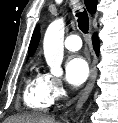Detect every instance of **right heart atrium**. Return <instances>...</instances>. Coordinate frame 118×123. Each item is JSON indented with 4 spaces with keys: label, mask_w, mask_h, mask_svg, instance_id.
Returning a JSON list of instances; mask_svg holds the SVG:
<instances>
[{
    "label": "right heart atrium",
    "mask_w": 118,
    "mask_h": 123,
    "mask_svg": "<svg viewBox=\"0 0 118 123\" xmlns=\"http://www.w3.org/2000/svg\"><path fill=\"white\" fill-rule=\"evenodd\" d=\"M43 79L48 94L53 101H58L64 97L65 89L61 79L53 76L50 73L43 74Z\"/></svg>",
    "instance_id": "d8ad5b80"
}]
</instances>
